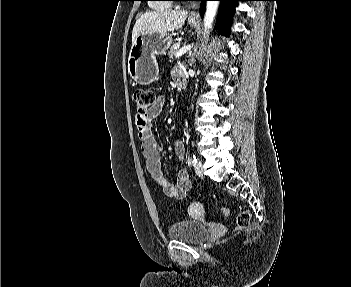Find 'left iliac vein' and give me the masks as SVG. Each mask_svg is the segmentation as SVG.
Returning <instances> with one entry per match:
<instances>
[{
    "label": "left iliac vein",
    "mask_w": 351,
    "mask_h": 287,
    "mask_svg": "<svg viewBox=\"0 0 351 287\" xmlns=\"http://www.w3.org/2000/svg\"><path fill=\"white\" fill-rule=\"evenodd\" d=\"M195 173L199 177H203V163L201 161H197L194 165Z\"/></svg>",
    "instance_id": "1"
}]
</instances>
